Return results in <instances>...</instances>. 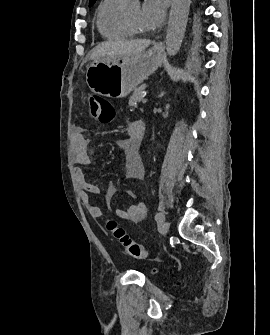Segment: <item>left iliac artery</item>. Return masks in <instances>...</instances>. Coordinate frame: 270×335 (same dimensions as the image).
Segmentation results:
<instances>
[{
  "label": "left iliac artery",
  "instance_id": "44dca946",
  "mask_svg": "<svg viewBox=\"0 0 270 335\" xmlns=\"http://www.w3.org/2000/svg\"><path fill=\"white\" fill-rule=\"evenodd\" d=\"M155 220L158 222V223H162L164 220H165V216L163 213H158L156 214L155 216Z\"/></svg>",
  "mask_w": 270,
  "mask_h": 335
}]
</instances>
